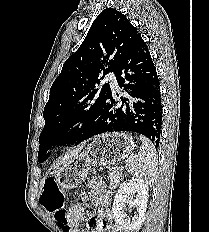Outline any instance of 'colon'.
<instances>
[{
	"mask_svg": "<svg viewBox=\"0 0 209 232\" xmlns=\"http://www.w3.org/2000/svg\"><path fill=\"white\" fill-rule=\"evenodd\" d=\"M40 203L50 214L53 215L59 226L68 225L64 214V193L54 179L47 178L44 181L43 191L40 196Z\"/></svg>",
	"mask_w": 209,
	"mask_h": 232,
	"instance_id": "obj_1",
	"label": "colon"
}]
</instances>
